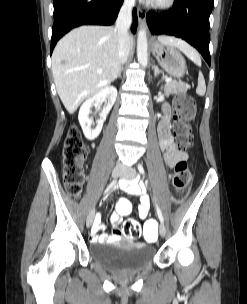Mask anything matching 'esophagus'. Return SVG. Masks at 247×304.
Here are the masks:
<instances>
[{"instance_id":"obj_1","label":"esophagus","mask_w":247,"mask_h":304,"mask_svg":"<svg viewBox=\"0 0 247 304\" xmlns=\"http://www.w3.org/2000/svg\"><path fill=\"white\" fill-rule=\"evenodd\" d=\"M145 16H146V13L143 10L138 9L137 17H138V22H139L140 25L143 24Z\"/></svg>"}]
</instances>
